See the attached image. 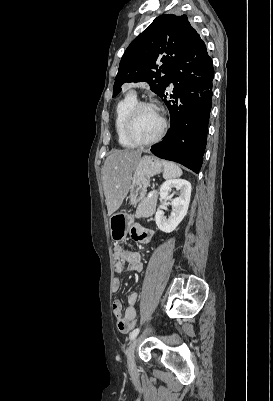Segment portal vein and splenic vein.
<instances>
[{
	"mask_svg": "<svg viewBox=\"0 0 273 401\" xmlns=\"http://www.w3.org/2000/svg\"><path fill=\"white\" fill-rule=\"evenodd\" d=\"M152 193H153V190H150L149 194L147 195V198H148V199H151V198H152Z\"/></svg>",
	"mask_w": 273,
	"mask_h": 401,
	"instance_id": "portal-vein-and-splenic-vein-1",
	"label": "portal vein and splenic vein"
}]
</instances>
